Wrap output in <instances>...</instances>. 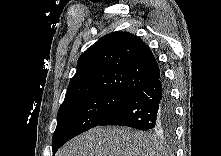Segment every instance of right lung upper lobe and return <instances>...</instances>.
Segmentation results:
<instances>
[{
	"instance_id": "1",
	"label": "right lung upper lobe",
	"mask_w": 221,
	"mask_h": 156,
	"mask_svg": "<svg viewBox=\"0 0 221 156\" xmlns=\"http://www.w3.org/2000/svg\"><path fill=\"white\" fill-rule=\"evenodd\" d=\"M159 77L157 61L139 37L113 32L79 57L64 102L98 93L131 97Z\"/></svg>"
}]
</instances>
